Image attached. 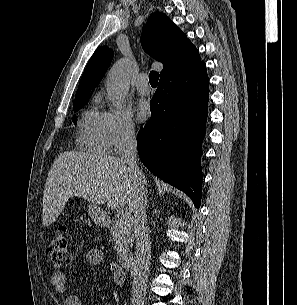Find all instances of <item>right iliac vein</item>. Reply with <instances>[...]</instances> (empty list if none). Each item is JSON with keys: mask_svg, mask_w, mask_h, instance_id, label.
I'll return each instance as SVG.
<instances>
[{"mask_svg": "<svg viewBox=\"0 0 297 305\" xmlns=\"http://www.w3.org/2000/svg\"><path fill=\"white\" fill-rule=\"evenodd\" d=\"M136 305H143V304H140V303H139V304H136Z\"/></svg>", "mask_w": 297, "mask_h": 305, "instance_id": "1", "label": "right iliac vein"}]
</instances>
